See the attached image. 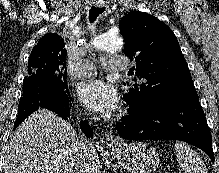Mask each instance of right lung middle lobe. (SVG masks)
I'll return each instance as SVG.
<instances>
[{
  "label": "right lung middle lobe",
  "mask_w": 219,
  "mask_h": 173,
  "mask_svg": "<svg viewBox=\"0 0 219 173\" xmlns=\"http://www.w3.org/2000/svg\"><path fill=\"white\" fill-rule=\"evenodd\" d=\"M66 77L67 71L57 64L28 61L27 76L23 82V93L46 85L59 90L63 97L70 98Z\"/></svg>",
  "instance_id": "obj_1"
}]
</instances>
